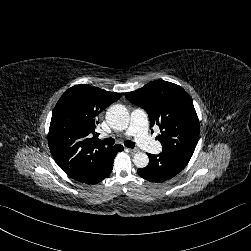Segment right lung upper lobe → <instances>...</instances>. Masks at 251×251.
<instances>
[{"label": "right lung upper lobe", "instance_id": "obj_1", "mask_svg": "<svg viewBox=\"0 0 251 251\" xmlns=\"http://www.w3.org/2000/svg\"><path fill=\"white\" fill-rule=\"evenodd\" d=\"M120 93L90 85L69 88L57 102L49 128L51 154L62 170L75 180H85L105 167L113 146L96 143V118Z\"/></svg>", "mask_w": 251, "mask_h": 251}]
</instances>
